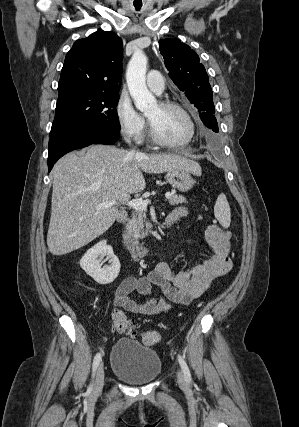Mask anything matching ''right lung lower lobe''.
<instances>
[{
	"mask_svg": "<svg viewBox=\"0 0 299 427\" xmlns=\"http://www.w3.org/2000/svg\"><path fill=\"white\" fill-rule=\"evenodd\" d=\"M119 131L101 128L73 127L50 136L48 145V171L64 154L91 144H113Z\"/></svg>",
	"mask_w": 299,
	"mask_h": 427,
	"instance_id": "obj_1",
	"label": "right lung lower lobe"
}]
</instances>
